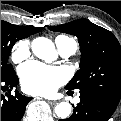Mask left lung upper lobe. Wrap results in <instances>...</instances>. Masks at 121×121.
<instances>
[{"label": "left lung upper lobe", "mask_w": 121, "mask_h": 121, "mask_svg": "<svg viewBox=\"0 0 121 121\" xmlns=\"http://www.w3.org/2000/svg\"><path fill=\"white\" fill-rule=\"evenodd\" d=\"M50 30L78 37L81 49L80 70L66 89L91 90L119 103L121 97V47L108 30L88 19L75 20Z\"/></svg>", "instance_id": "obj_1"}]
</instances>
